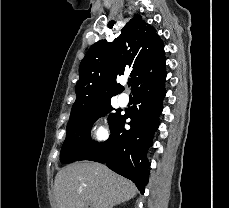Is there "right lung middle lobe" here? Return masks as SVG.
<instances>
[{"label": "right lung middle lobe", "mask_w": 229, "mask_h": 208, "mask_svg": "<svg viewBox=\"0 0 229 208\" xmlns=\"http://www.w3.org/2000/svg\"><path fill=\"white\" fill-rule=\"evenodd\" d=\"M113 108L110 100L105 101L94 107L86 115L70 118L67 124L66 139L62 145L60 160L62 163H71L77 161L83 154L89 151L98 143L90 138V130L95 120L106 115ZM116 113L109 115L110 130H112L120 121V109Z\"/></svg>", "instance_id": "dd1d6c3e"}]
</instances>
